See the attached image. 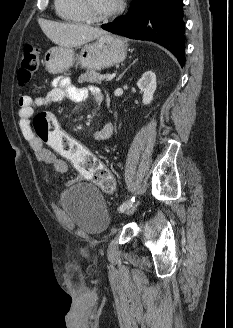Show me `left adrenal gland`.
<instances>
[{
	"label": "left adrenal gland",
	"instance_id": "obj_1",
	"mask_svg": "<svg viewBox=\"0 0 233 328\" xmlns=\"http://www.w3.org/2000/svg\"><path fill=\"white\" fill-rule=\"evenodd\" d=\"M138 61V59H135L120 75L119 77L116 79V81H119L123 75L127 72V70L132 66L134 65L136 62Z\"/></svg>",
	"mask_w": 233,
	"mask_h": 328
}]
</instances>
